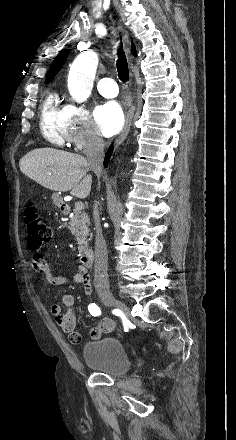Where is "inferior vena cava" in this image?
Listing matches in <instances>:
<instances>
[{"instance_id": "inferior-vena-cava-1", "label": "inferior vena cava", "mask_w": 236, "mask_h": 440, "mask_svg": "<svg viewBox=\"0 0 236 440\" xmlns=\"http://www.w3.org/2000/svg\"><path fill=\"white\" fill-rule=\"evenodd\" d=\"M104 146L103 139L99 135L94 134L88 139L85 149L89 167L98 178L101 176L102 172ZM93 213L96 230L94 286L96 289H102L109 287L108 255L106 242L102 234L97 202L94 204Z\"/></svg>"}]
</instances>
